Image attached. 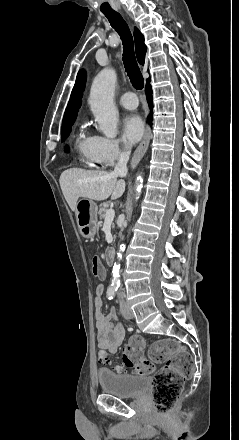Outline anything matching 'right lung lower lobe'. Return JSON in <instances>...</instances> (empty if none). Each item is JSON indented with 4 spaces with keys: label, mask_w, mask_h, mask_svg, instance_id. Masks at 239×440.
Listing matches in <instances>:
<instances>
[{
    "label": "right lung lower lobe",
    "mask_w": 239,
    "mask_h": 440,
    "mask_svg": "<svg viewBox=\"0 0 239 440\" xmlns=\"http://www.w3.org/2000/svg\"><path fill=\"white\" fill-rule=\"evenodd\" d=\"M145 90H146V95H147V101H148V104H149L150 110H151L150 115L148 117V122L151 124L152 114H153L152 113V110H153V100H152V88H151V85H150V78L147 79Z\"/></svg>",
    "instance_id": "right-lung-lower-lobe-1"
}]
</instances>
